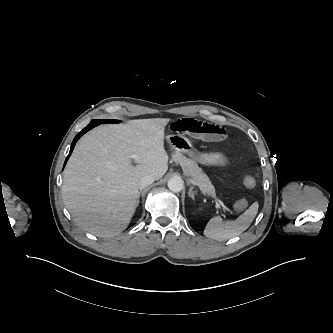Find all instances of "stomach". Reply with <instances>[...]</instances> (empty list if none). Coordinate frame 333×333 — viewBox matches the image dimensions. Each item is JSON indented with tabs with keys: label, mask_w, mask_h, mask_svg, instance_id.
Masks as SVG:
<instances>
[{
	"label": "stomach",
	"mask_w": 333,
	"mask_h": 333,
	"mask_svg": "<svg viewBox=\"0 0 333 333\" xmlns=\"http://www.w3.org/2000/svg\"><path fill=\"white\" fill-rule=\"evenodd\" d=\"M167 141L177 152L184 153L199 162L213 166H225L228 163V158L220 152L199 154L191 141L182 135H168Z\"/></svg>",
	"instance_id": "0dacf381"
}]
</instances>
